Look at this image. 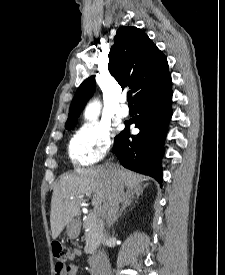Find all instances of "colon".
Returning <instances> with one entry per match:
<instances>
[{
  "instance_id": "5ec220e1",
  "label": "colon",
  "mask_w": 225,
  "mask_h": 275,
  "mask_svg": "<svg viewBox=\"0 0 225 275\" xmlns=\"http://www.w3.org/2000/svg\"><path fill=\"white\" fill-rule=\"evenodd\" d=\"M52 253L54 258L57 260L55 275H64V273L67 271L65 262L69 257V249L60 242H53Z\"/></svg>"
}]
</instances>
